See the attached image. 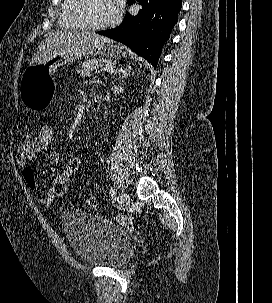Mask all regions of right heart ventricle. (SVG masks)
Listing matches in <instances>:
<instances>
[{
    "label": "right heart ventricle",
    "instance_id": "1",
    "mask_svg": "<svg viewBox=\"0 0 272 303\" xmlns=\"http://www.w3.org/2000/svg\"><path fill=\"white\" fill-rule=\"evenodd\" d=\"M73 3L74 0H62L58 19L61 28L81 29L83 27L72 15Z\"/></svg>",
    "mask_w": 272,
    "mask_h": 303
}]
</instances>
